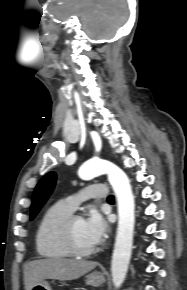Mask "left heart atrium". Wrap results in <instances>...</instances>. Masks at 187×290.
Masks as SVG:
<instances>
[{
	"instance_id": "left-heart-atrium-1",
	"label": "left heart atrium",
	"mask_w": 187,
	"mask_h": 290,
	"mask_svg": "<svg viewBox=\"0 0 187 290\" xmlns=\"http://www.w3.org/2000/svg\"><path fill=\"white\" fill-rule=\"evenodd\" d=\"M85 225L90 238L95 244L102 242L108 233V224L97 210L89 212L85 219Z\"/></svg>"
}]
</instances>
